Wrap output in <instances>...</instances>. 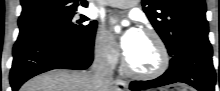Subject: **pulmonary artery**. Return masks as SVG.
I'll list each match as a JSON object with an SVG mask.
<instances>
[{
	"label": "pulmonary artery",
	"mask_w": 220,
	"mask_h": 91,
	"mask_svg": "<svg viewBox=\"0 0 220 91\" xmlns=\"http://www.w3.org/2000/svg\"><path fill=\"white\" fill-rule=\"evenodd\" d=\"M138 1L137 0H110L104 3L108 6L117 8H130L133 7Z\"/></svg>",
	"instance_id": "pulmonary-artery-1"
}]
</instances>
